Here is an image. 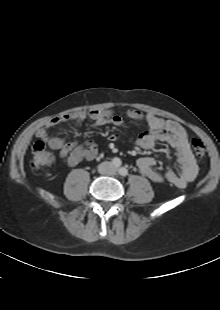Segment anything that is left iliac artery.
Here are the masks:
<instances>
[{
    "instance_id": "1",
    "label": "left iliac artery",
    "mask_w": 220,
    "mask_h": 310,
    "mask_svg": "<svg viewBox=\"0 0 220 310\" xmlns=\"http://www.w3.org/2000/svg\"><path fill=\"white\" fill-rule=\"evenodd\" d=\"M119 174H120L121 176H127V175H128V170H127L126 168H124V167H121V168L119 169Z\"/></svg>"
}]
</instances>
